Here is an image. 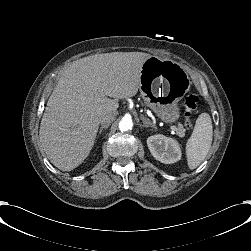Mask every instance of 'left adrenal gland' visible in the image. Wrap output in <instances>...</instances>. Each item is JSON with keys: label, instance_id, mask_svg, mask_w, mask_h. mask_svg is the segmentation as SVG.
Segmentation results:
<instances>
[{"label": "left adrenal gland", "instance_id": "a2214340", "mask_svg": "<svg viewBox=\"0 0 251 251\" xmlns=\"http://www.w3.org/2000/svg\"><path fill=\"white\" fill-rule=\"evenodd\" d=\"M141 120L143 121V126L144 127H149V126H153L152 122L150 121V119H147L144 116H141Z\"/></svg>", "mask_w": 251, "mask_h": 251}]
</instances>
